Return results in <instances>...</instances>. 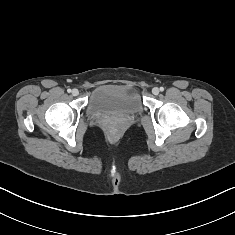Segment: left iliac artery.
Wrapping results in <instances>:
<instances>
[{
	"label": "left iliac artery",
	"mask_w": 235,
	"mask_h": 235,
	"mask_svg": "<svg viewBox=\"0 0 235 235\" xmlns=\"http://www.w3.org/2000/svg\"><path fill=\"white\" fill-rule=\"evenodd\" d=\"M160 91H164V88H163V87H160Z\"/></svg>",
	"instance_id": "1"
}]
</instances>
